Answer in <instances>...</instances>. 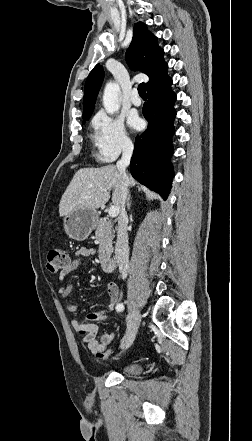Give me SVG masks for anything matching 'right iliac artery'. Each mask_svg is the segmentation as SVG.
<instances>
[{"label":"right iliac artery","mask_w":252,"mask_h":441,"mask_svg":"<svg viewBox=\"0 0 252 441\" xmlns=\"http://www.w3.org/2000/svg\"><path fill=\"white\" fill-rule=\"evenodd\" d=\"M116 309H117V311L121 312V311L124 310V305L123 304H118Z\"/></svg>","instance_id":"right-iliac-artery-1"}]
</instances>
